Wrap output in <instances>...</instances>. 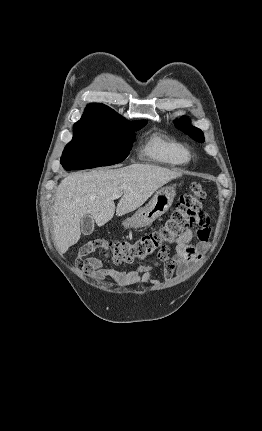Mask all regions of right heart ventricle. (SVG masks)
<instances>
[{"label": "right heart ventricle", "mask_w": 262, "mask_h": 431, "mask_svg": "<svg viewBox=\"0 0 262 431\" xmlns=\"http://www.w3.org/2000/svg\"><path fill=\"white\" fill-rule=\"evenodd\" d=\"M143 153L150 160L168 167H185L190 162L188 148L160 131L148 138L143 147Z\"/></svg>", "instance_id": "1"}]
</instances>
